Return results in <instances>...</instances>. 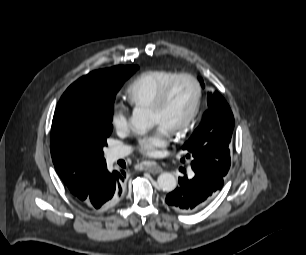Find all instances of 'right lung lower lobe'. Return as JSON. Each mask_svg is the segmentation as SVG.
Here are the masks:
<instances>
[{
	"label": "right lung lower lobe",
	"mask_w": 306,
	"mask_h": 255,
	"mask_svg": "<svg viewBox=\"0 0 306 255\" xmlns=\"http://www.w3.org/2000/svg\"><path fill=\"white\" fill-rule=\"evenodd\" d=\"M125 177V171L110 172L105 163L90 169L68 188L77 202L92 211L104 212L120 201Z\"/></svg>",
	"instance_id": "obj_1"
}]
</instances>
